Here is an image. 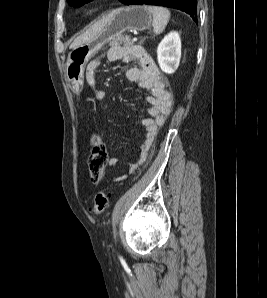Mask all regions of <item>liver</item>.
Listing matches in <instances>:
<instances>
[{
	"instance_id": "obj_1",
	"label": "liver",
	"mask_w": 267,
	"mask_h": 298,
	"mask_svg": "<svg viewBox=\"0 0 267 298\" xmlns=\"http://www.w3.org/2000/svg\"><path fill=\"white\" fill-rule=\"evenodd\" d=\"M110 19H111V15L109 14L103 17L102 19L98 20L97 22H95L91 27H89L88 30H86L84 33H82L73 41V43L70 45V48L73 49L79 45H82L90 41L92 38H94L103 30V28L107 25Z\"/></svg>"
}]
</instances>
